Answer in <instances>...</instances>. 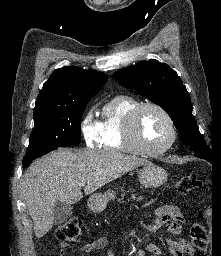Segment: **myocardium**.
I'll use <instances>...</instances> for the list:
<instances>
[{"label":"myocardium","instance_id":"f54148a6","mask_svg":"<svg viewBox=\"0 0 221 256\" xmlns=\"http://www.w3.org/2000/svg\"><path fill=\"white\" fill-rule=\"evenodd\" d=\"M146 108H154L158 110L167 120L170 129V137L169 140L159 148H149L147 147L139 134V118L142 111ZM124 136L126 141L140 154L147 156H158L166 153L176 142L177 139V128L175 125V121L171 114L160 104L155 102H142L139 103L135 108L131 110L129 113L125 129Z\"/></svg>","mask_w":221,"mask_h":256}]
</instances>
